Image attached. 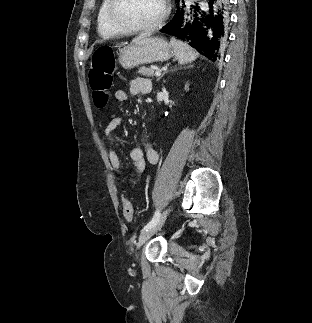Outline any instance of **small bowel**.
<instances>
[{"label":"small bowel","instance_id":"c3829d8e","mask_svg":"<svg viewBox=\"0 0 312 323\" xmlns=\"http://www.w3.org/2000/svg\"><path fill=\"white\" fill-rule=\"evenodd\" d=\"M152 90L151 81L145 77H137L129 82V92L132 95L146 94ZM114 98L119 103H124L128 100V92L124 89H118L114 93ZM126 115L113 113L110 115L107 125L104 129V137L107 141L110 140L113 132L124 122ZM109 163L114 171L118 167L122 168L120 159L116 151L109 146L107 151ZM131 160L138 172H142L145 168V162L156 164L159 161V153L151 145H147L145 150L141 147H135L130 152Z\"/></svg>","mask_w":312,"mask_h":323}]
</instances>
